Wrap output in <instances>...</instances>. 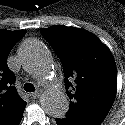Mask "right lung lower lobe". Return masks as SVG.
I'll return each mask as SVG.
<instances>
[{"instance_id": "98d812e1", "label": "right lung lower lobe", "mask_w": 125, "mask_h": 125, "mask_svg": "<svg viewBox=\"0 0 125 125\" xmlns=\"http://www.w3.org/2000/svg\"><path fill=\"white\" fill-rule=\"evenodd\" d=\"M26 105L21 107L18 111H16L14 114L8 116L4 120L0 121V125H19L21 122V119L23 117L24 109Z\"/></svg>"}]
</instances>
